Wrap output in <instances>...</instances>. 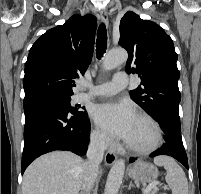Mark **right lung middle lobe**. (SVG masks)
Returning <instances> with one entry per match:
<instances>
[{"label":"right lung middle lobe","instance_id":"dd1d6c3e","mask_svg":"<svg viewBox=\"0 0 201 194\" xmlns=\"http://www.w3.org/2000/svg\"><path fill=\"white\" fill-rule=\"evenodd\" d=\"M48 96L62 102L73 114H76L82 117H87L86 111H80L79 108L72 107L70 105V101H71L70 96H65V95H48Z\"/></svg>","mask_w":201,"mask_h":194}]
</instances>
